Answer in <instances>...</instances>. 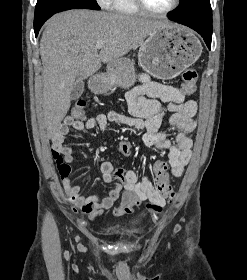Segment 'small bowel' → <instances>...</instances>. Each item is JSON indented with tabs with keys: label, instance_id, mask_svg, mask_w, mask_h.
Instances as JSON below:
<instances>
[{
	"label": "small bowel",
	"instance_id": "obj_1",
	"mask_svg": "<svg viewBox=\"0 0 247 280\" xmlns=\"http://www.w3.org/2000/svg\"><path fill=\"white\" fill-rule=\"evenodd\" d=\"M139 79L141 84L127 94L129 116L116 111L97 114L86 121L68 116L52 132L53 156H60L63 163L69 167L68 172L60 173L63 188L70 201L92 220L109 211L118 200L119 205L112 210L115 216L132 213L133 208L143 201H149L147 204L149 211L159 212L166 200L154 189L146 175L138 178L134 171L127 172L129 186L121 191H113L110 188L102 194L83 195L80 186L74 184L70 177L69 164L75 160V155L71 147L64 143L69 129L84 131L97 127L104 131L110 122L139 130L145 129L143 138L145 145L168 152V164L174 177L182 176L191 158L192 139L189 133L195 129L196 102L186 100L176 87L155 82L147 74H140ZM167 111L172 113L169 124L178 129L173 138H169L160 130ZM100 172L103 182L114 181V166L111 162L102 163Z\"/></svg>",
	"mask_w": 247,
	"mask_h": 280
}]
</instances>
